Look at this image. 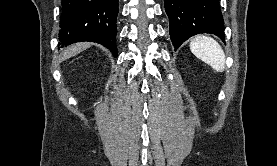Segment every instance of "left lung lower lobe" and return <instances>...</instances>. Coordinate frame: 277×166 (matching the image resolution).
I'll return each instance as SVG.
<instances>
[{"label": "left lung lower lobe", "mask_w": 277, "mask_h": 166, "mask_svg": "<svg viewBox=\"0 0 277 166\" xmlns=\"http://www.w3.org/2000/svg\"><path fill=\"white\" fill-rule=\"evenodd\" d=\"M170 38L177 49L199 33L215 34L224 42L223 18L218 0H164Z\"/></svg>", "instance_id": "1"}]
</instances>
